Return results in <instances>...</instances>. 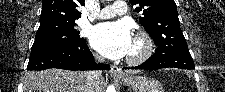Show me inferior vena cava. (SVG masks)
Wrapping results in <instances>:
<instances>
[{
    "instance_id": "obj_1",
    "label": "inferior vena cava",
    "mask_w": 225,
    "mask_h": 92,
    "mask_svg": "<svg viewBox=\"0 0 225 92\" xmlns=\"http://www.w3.org/2000/svg\"><path fill=\"white\" fill-rule=\"evenodd\" d=\"M98 60L100 62H103L104 60L101 59V58H98ZM102 76V73L101 71H92L88 74V77H87V82H88V85H89V88H90V92H97L99 90L98 89V85H99V80H100V77Z\"/></svg>"
}]
</instances>
